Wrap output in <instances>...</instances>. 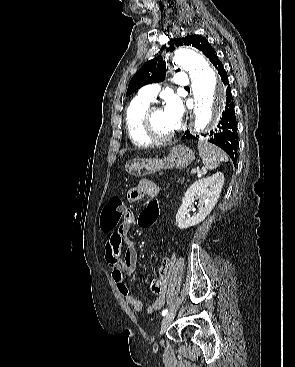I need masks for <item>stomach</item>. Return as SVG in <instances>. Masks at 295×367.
<instances>
[{"mask_svg": "<svg viewBox=\"0 0 295 367\" xmlns=\"http://www.w3.org/2000/svg\"><path fill=\"white\" fill-rule=\"evenodd\" d=\"M193 151L184 145L174 146L163 159H138L126 165V171L136 177L153 174L167 169L186 168L194 160Z\"/></svg>", "mask_w": 295, "mask_h": 367, "instance_id": "stomach-1", "label": "stomach"}]
</instances>
